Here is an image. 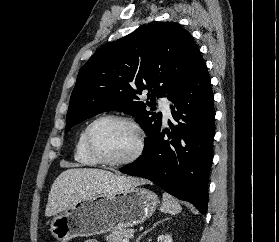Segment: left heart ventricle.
<instances>
[{
  "label": "left heart ventricle",
  "mask_w": 279,
  "mask_h": 242,
  "mask_svg": "<svg viewBox=\"0 0 279 242\" xmlns=\"http://www.w3.org/2000/svg\"><path fill=\"white\" fill-rule=\"evenodd\" d=\"M94 143L104 157L110 160H120L134 151L136 134L128 124L104 121L94 130Z\"/></svg>",
  "instance_id": "obj_1"
}]
</instances>
